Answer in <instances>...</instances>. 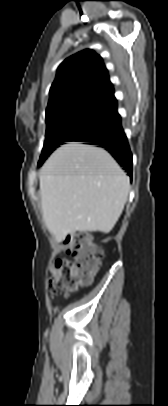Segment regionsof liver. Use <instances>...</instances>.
<instances>
[{
	"label": "liver",
	"mask_w": 168,
	"mask_h": 406,
	"mask_svg": "<svg viewBox=\"0 0 168 406\" xmlns=\"http://www.w3.org/2000/svg\"><path fill=\"white\" fill-rule=\"evenodd\" d=\"M39 180L43 219L57 242L76 231L109 233L129 193V179L112 156L78 142L59 147Z\"/></svg>",
	"instance_id": "obj_1"
}]
</instances>
